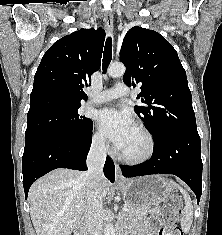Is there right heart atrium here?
I'll return each mask as SVG.
<instances>
[{
    "instance_id": "d8ad5b80",
    "label": "right heart atrium",
    "mask_w": 222,
    "mask_h": 235,
    "mask_svg": "<svg viewBox=\"0 0 222 235\" xmlns=\"http://www.w3.org/2000/svg\"><path fill=\"white\" fill-rule=\"evenodd\" d=\"M92 146L97 151H105L107 149L106 138H105V136L101 132L96 131L93 134V137H92Z\"/></svg>"
}]
</instances>
